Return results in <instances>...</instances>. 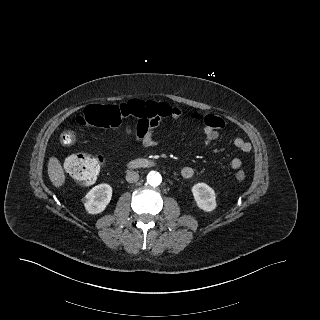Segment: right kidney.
Masks as SVG:
<instances>
[{
	"instance_id": "obj_1",
	"label": "right kidney",
	"mask_w": 320,
	"mask_h": 320,
	"mask_svg": "<svg viewBox=\"0 0 320 320\" xmlns=\"http://www.w3.org/2000/svg\"><path fill=\"white\" fill-rule=\"evenodd\" d=\"M112 198V187L103 183L93 187L85 196L84 207L89 214H98L105 210Z\"/></svg>"
}]
</instances>
